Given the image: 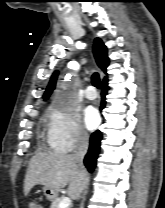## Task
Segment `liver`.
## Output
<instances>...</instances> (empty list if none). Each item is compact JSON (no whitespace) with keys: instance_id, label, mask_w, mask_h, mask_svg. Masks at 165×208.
<instances>
[{"instance_id":"liver-1","label":"liver","mask_w":165,"mask_h":208,"mask_svg":"<svg viewBox=\"0 0 165 208\" xmlns=\"http://www.w3.org/2000/svg\"><path fill=\"white\" fill-rule=\"evenodd\" d=\"M88 175L72 160L71 155L40 152L29 162L24 195L27 196L35 185H43L59 192L68 183V195L76 199L87 184Z\"/></svg>"}]
</instances>
